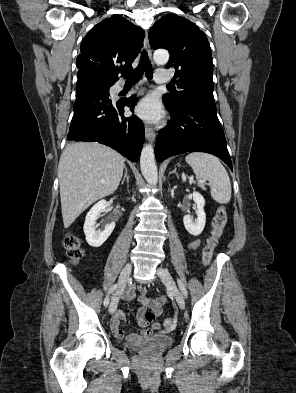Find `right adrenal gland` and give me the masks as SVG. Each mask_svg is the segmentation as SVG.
Returning <instances> with one entry per match:
<instances>
[{
  "mask_svg": "<svg viewBox=\"0 0 296 393\" xmlns=\"http://www.w3.org/2000/svg\"><path fill=\"white\" fill-rule=\"evenodd\" d=\"M124 168H125V173H124V177H123L122 182H121L122 185L124 184L125 180H127V182H129V177L127 175L128 171H127L126 165L124 166Z\"/></svg>",
  "mask_w": 296,
  "mask_h": 393,
  "instance_id": "2a0ac1e0",
  "label": "right adrenal gland"
}]
</instances>
